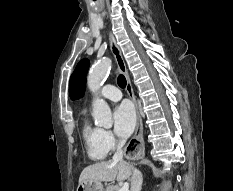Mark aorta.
<instances>
[{
    "mask_svg": "<svg viewBox=\"0 0 233 191\" xmlns=\"http://www.w3.org/2000/svg\"><path fill=\"white\" fill-rule=\"evenodd\" d=\"M110 69L111 61L108 58L103 59L91 68L87 78V85L93 93H96L100 89ZM93 118L95 123L100 127H112L111 109L103 99H96L94 101Z\"/></svg>",
    "mask_w": 233,
    "mask_h": 191,
    "instance_id": "762f6f07",
    "label": "aorta"
}]
</instances>
